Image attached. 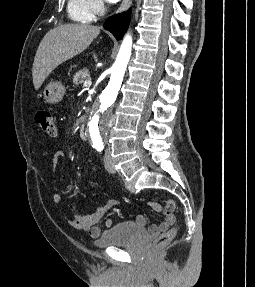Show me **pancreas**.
<instances>
[{
  "label": "pancreas",
  "mask_w": 255,
  "mask_h": 287,
  "mask_svg": "<svg viewBox=\"0 0 255 287\" xmlns=\"http://www.w3.org/2000/svg\"><path fill=\"white\" fill-rule=\"evenodd\" d=\"M86 80H91L90 74L86 68L77 72L76 76H73V84L74 86H79V84H83Z\"/></svg>",
  "instance_id": "cf45deb5"
}]
</instances>
